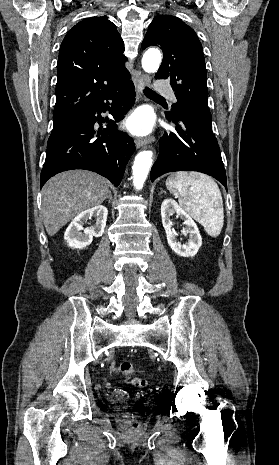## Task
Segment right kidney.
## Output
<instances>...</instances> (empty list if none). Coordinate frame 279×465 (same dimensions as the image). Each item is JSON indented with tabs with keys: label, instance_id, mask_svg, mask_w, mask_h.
Returning <instances> with one entry per match:
<instances>
[{
	"label": "right kidney",
	"instance_id": "ca27d5eb",
	"mask_svg": "<svg viewBox=\"0 0 279 465\" xmlns=\"http://www.w3.org/2000/svg\"><path fill=\"white\" fill-rule=\"evenodd\" d=\"M108 210L103 205H97L79 213L65 231L64 239L68 246L83 249L92 243L93 237H101L106 226ZM92 216L96 217L95 226L84 229L83 225Z\"/></svg>",
	"mask_w": 279,
	"mask_h": 465
}]
</instances>
